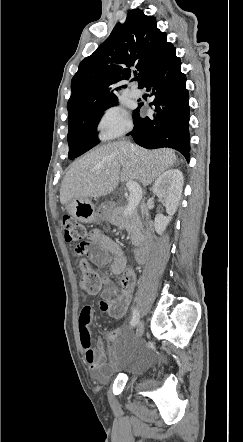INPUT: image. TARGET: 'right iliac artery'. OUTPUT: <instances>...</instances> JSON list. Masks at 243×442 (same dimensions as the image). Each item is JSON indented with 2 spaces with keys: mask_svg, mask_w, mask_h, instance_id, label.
Listing matches in <instances>:
<instances>
[{
  "mask_svg": "<svg viewBox=\"0 0 243 442\" xmlns=\"http://www.w3.org/2000/svg\"><path fill=\"white\" fill-rule=\"evenodd\" d=\"M139 321V314L137 312V310L135 308H133L132 310V319H131V327H135V325L138 323Z\"/></svg>",
  "mask_w": 243,
  "mask_h": 442,
  "instance_id": "right-iliac-artery-1",
  "label": "right iliac artery"
}]
</instances>
